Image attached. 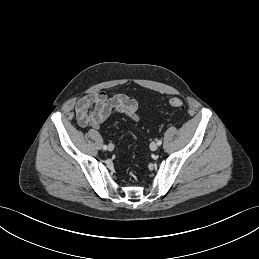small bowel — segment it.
Wrapping results in <instances>:
<instances>
[{
  "instance_id": "1",
  "label": "small bowel",
  "mask_w": 259,
  "mask_h": 259,
  "mask_svg": "<svg viewBox=\"0 0 259 259\" xmlns=\"http://www.w3.org/2000/svg\"><path fill=\"white\" fill-rule=\"evenodd\" d=\"M75 110L78 124L83 128L100 129L113 114H121L139 121L136 100L122 92L110 95L98 92L87 95L76 103Z\"/></svg>"
}]
</instances>
